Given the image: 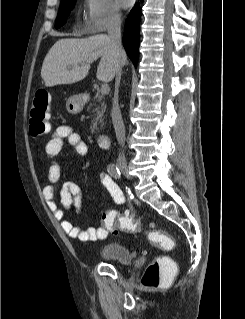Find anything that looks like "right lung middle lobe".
<instances>
[{
  "label": "right lung middle lobe",
  "mask_w": 245,
  "mask_h": 319,
  "mask_svg": "<svg viewBox=\"0 0 245 319\" xmlns=\"http://www.w3.org/2000/svg\"><path fill=\"white\" fill-rule=\"evenodd\" d=\"M76 0H61L60 10L56 19L55 28H59L66 23V19L70 14Z\"/></svg>",
  "instance_id": "obj_1"
}]
</instances>
